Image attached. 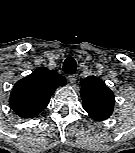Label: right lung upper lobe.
<instances>
[{
    "instance_id": "obj_1",
    "label": "right lung upper lobe",
    "mask_w": 135,
    "mask_h": 153,
    "mask_svg": "<svg viewBox=\"0 0 135 153\" xmlns=\"http://www.w3.org/2000/svg\"><path fill=\"white\" fill-rule=\"evenodd\" d=\"M65 83L66 79L55 70L37 68L15 84L12 97L17 103V113L24 118L37 116L46 108L56 88Z\"/></svg>"
}]
</instances>
